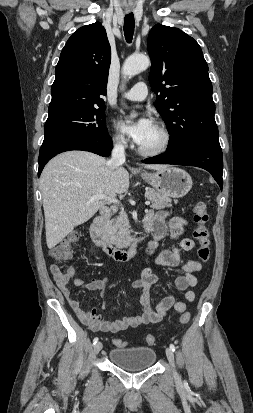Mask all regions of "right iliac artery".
<instances>
[{"label": "right iliac artery", "mask_w": 253, "mask_h": 413, "mask_svg": "<svg viewBox=\"0 0 253 413\" xmlns=\"http://www.w3.org/2000/svg\"><path fill=\"white\" fill-rule=\"evenodd\" d=\"M97 341H98V338H97V337H95V338L93 339V344H96V343H97Z\"/></svg>", "instance_id": "obj_1"}]
</instances>
